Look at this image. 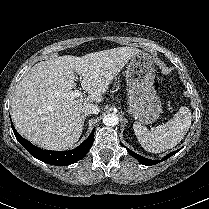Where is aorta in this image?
Returning <instances> with one entry per match:
<instances>
[{
    "mask_svg": "<svg viewBox=\"0 0 209 209\" xmlns=\"http://www.w3.org/2000/svg\"><path fill=\"white\" fill-rule=\"evenodd\" d=\"M119 118L116 114L114 113H109L104 116L103 118V123L106 126H116L118 124Z\"/></svg>",
    "mask_w": 209,
    "mask_h": 209,
    "instance_id": "762f6f07",
    "label": "aorta"
}]
</instances>
